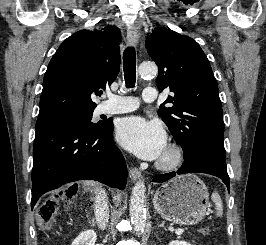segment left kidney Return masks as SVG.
I'll use <instances>...</instances> for the list:
<instances>
[{"label":"left kidney","instance_id":"obj_1","mask_svg":"<svg viewBox=\"0 0 266 245\" xmlns=\"http://www.w3.org/2000/svg\"><path fill=\"white\" fill-rule=\"evenodd\" d=\"M169 245H190V243H187V241H171Z\"/></svg>","mask_w":266,"mask_h":245}]
</instances>
